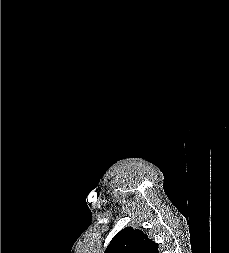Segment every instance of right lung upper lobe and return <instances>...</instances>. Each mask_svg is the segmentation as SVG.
Returning <instances> with one entry per match:
<instances>
[{
	"mask_svg": "<svg viewBox=\"0 0 229 253\" xmlns=\"http://www.w3.org/2000/svg\"><path fill=\"white\" fill-rule=\"evenodd\" d=\"M105 253H159V250L143 231L126 227L111 240Z\"/></svg>",
	"mask_w": 229,
	"mask_h": 253,
	"instance_id": "obj_1",
	"label": "right lung upper lobe"
}]
</instances>
